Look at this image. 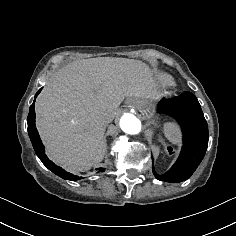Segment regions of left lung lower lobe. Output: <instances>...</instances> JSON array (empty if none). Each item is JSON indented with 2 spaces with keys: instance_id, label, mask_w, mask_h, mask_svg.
<instances>
[{
  "instance_id": "left-lung-lower-lobe-1",
  "label": "left lung lower lobe",
  "mask_w": 236,
  "mask_h": 236,
  "mask_svg": "<svg viewBox=\"0 0 236 236\" xmlns=\"http://www.w3.org/2000/svg\"><path fill=\"white\" fill-rule=\"evenodd\" d=\"M158 112L174 117L183 132V147L176 163L163 175L152 170L158 180L181 182L188 179L205 156L208 146V126L201 106L191 92H184L173 99H163Z\"/></svg>"
}]
</instances>
